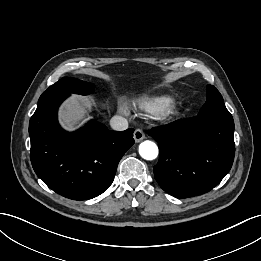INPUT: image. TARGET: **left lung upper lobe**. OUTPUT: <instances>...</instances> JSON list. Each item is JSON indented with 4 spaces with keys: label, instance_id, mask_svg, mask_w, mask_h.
<instances>
[{
    "label": "left lung upper lobe",
    "instance_id": "left-lung-upper-lobe-1",
    "mask_svg": "<svg viewBox=\"0 0 261 261\" xmlns=\"http://www.w3.org/2000/svg\"><path fill=\"white\" fill-rule=\"evenodd\" d=\"M198 116L215 118L232 117L225 107L221 94L214 86L211 85H208L207 87V101L200 109Z\"/></svg>",
    "mask_w": 261,
    "mask_h": 261
}]
</instances>
